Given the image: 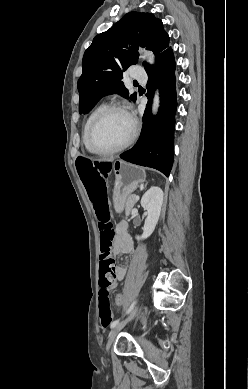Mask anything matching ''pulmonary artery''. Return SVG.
I'll return each mask as SVG.
<instances>
[{"label": "pulmonary artery", "instance_id": "1", "mask_svg": "<svg viewBox=\"0 0 248 389\" xmlns=\"http://www.w3.org/2000/svg\"><path fill=\"white\" fill-rule=\"evenodd\" d=\"M131 77L133 79H135L136 81H145L146 80V77L144 76V74L142 73H139L137 70L133 69L131 71Z\"/></svg>", "mask_w": 248, "mask_h": 389}]
</instances>
